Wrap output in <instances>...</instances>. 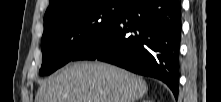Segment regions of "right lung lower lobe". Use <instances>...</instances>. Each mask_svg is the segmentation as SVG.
Masks as SVG:
<instances>
[{
	"label": "right lung lower lobe",
	"instance_id": "right-lung-lower-lobe-1",
	"mask_svg": "<svg viewBox=\"0 0 221 102\" xmlns=\"http://www.w3.org/2000/svg\"><path fill=\"white\" fill-rule=\"evenodd\" d=\"M179 0H126L118 20L72 61L100 60L163 81L178 97Z\"/></svg>",
	"mask_w": 221,
	"mask_h": 102
}]
</instances>
